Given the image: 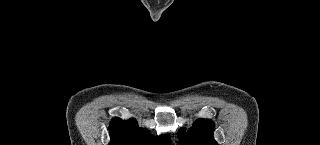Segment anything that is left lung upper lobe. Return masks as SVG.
<instances>
[{"label":"left lung upper lobe","mask_w":320,"mask_h":145,"mask_svg":"<svg viewBox=\"0 0 320 145\" xmlns=\"http://www.w3.org/2000/svg\"><path fill=\"white\" fill-rule=\"evenodd\" d=\"M214 124L210 120H197L187 133H179L181 145H218L213 137Z\"/></svg>","instance_id":"left-lung-upper-lobe-1"}]
</instances>
